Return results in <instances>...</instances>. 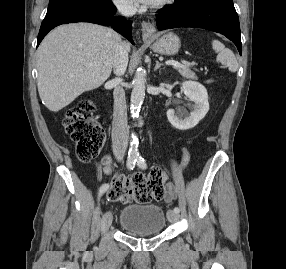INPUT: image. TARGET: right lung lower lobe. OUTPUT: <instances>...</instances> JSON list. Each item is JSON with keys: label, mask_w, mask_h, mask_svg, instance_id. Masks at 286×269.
Instances as JSON below:
<instances>
[{"label": "right lung lower lobe", "mask_w": 286, "mask_h": 269, "mask_svg": "<svg viewBox=\"0 0 286 269\" xmlns=\"http://www.w3.org/2000/svg\"><path fill=\"white\" fill-rule=\"evenodd\" d=\"M116 8L102 10L93 5L75 4L47 12L38 34L37 46L46 34L54 27L74 22H90L104 26L111 25L114 30L126 37L132 44L131 22L123 17H114Z\"/></svg>", "instance_id": "right-lung-lower-lobe-1"}]
</instances>
